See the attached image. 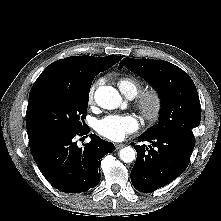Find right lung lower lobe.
<instances>
[{
    "label": "right lung lower lobe",
    "instance_id": "obj_1",
    "mask_svg": "<svg viewBox=\"0 0 221 221\" xmlns=\"http://www.w3.org/2000/svg\"><path fill=\"white\" fill-rule=\"evenodd\" d=\"M83 131L54 135L30 143L32 156L44 177L56 189L65 193H80L95 187L100 181V159L114 151L111 142L91 134V141L79 148L74 137Z\"/></svg>",
    "mask_w": 221,
    "mask_h": 221
}]
</instances>
